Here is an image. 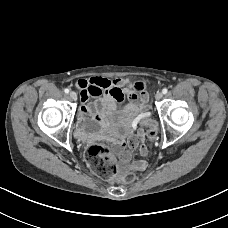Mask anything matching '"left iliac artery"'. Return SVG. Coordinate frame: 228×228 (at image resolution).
<instances>
[{
  "mask_svg": "<svg viewBox=\"0 0 228 228\" xmlns=\"http://www.w3.org/2000/svg\"><path fill=\"white\" fill-rule=\"evenodd\" d=\"M168 92V89L167 88H164L163 90H162V93L163 94H166Z\"/></svg>",
  "mask_w": 228,
  "mask_h": 228,
  "instance_id": "44dca946",
  "label": "left iliac artery"
}]
</instances>
